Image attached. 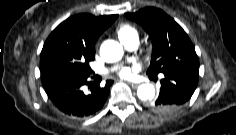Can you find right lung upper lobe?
Wrapping results in <instances>:
<instances>
[{
    "mask_svg": "<svg viewBox=\"0 0 236 135\" xmlns=\"http://www.w3.org/2000/svg\"><path fill=\"white\" fill-rule=\"evenodd\" d=\"M117 17V14L98 17L91 14L74 15L58 25L48 38L66 34L77 37L86 44L95 46L98 37Z\"/></svg>",
    "mask_w": 236,
    "mask_h": 135,
    "instance_id": "1",
    "label": "right lung upper lobe"
}]
</instances>
